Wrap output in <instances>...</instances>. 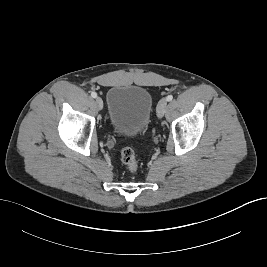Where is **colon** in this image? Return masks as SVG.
Returning a JSON list of instances; mask_svg holds the SVG:
<instances>
[{
	"label": "colon",
	"instance_id": "5ec220e1",
	"mask_svg": "<svg viewBox=\"0 0 267 267\" xmlns=\"http://www.w3.org/2000/svg\"><path fill=\"white\" fill-rule=\"evenodd\" d=\"M120 158L122 163L127 167L129 172L134 173L138 169V162L135 152L131 148H124L121 151Z\"/></svg>",
	"mask_w": 267,
	"mask_h": 267
}]
</instances>
